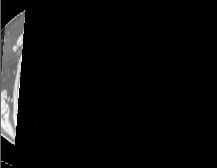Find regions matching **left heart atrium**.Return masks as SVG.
Returning a JSON list of instances; mask_svg holds the SVG:
<instances>
[{"label":"left heart atrium","instance_id":"left-heart-atrium-1","mask_svg":"<svg viewBox=\"0 0 217 168\" xmlns=\"http://www.w3.org/2000/svg\"><path fill=\"white\" fill-rule=\"evenodd\" d=\"M116 81H118L117 77H109V78H106L104 80V84H106V85H112V84L116 83Z\"/></svg>","mask_w":217,"mask_h":168}]
</instances>
